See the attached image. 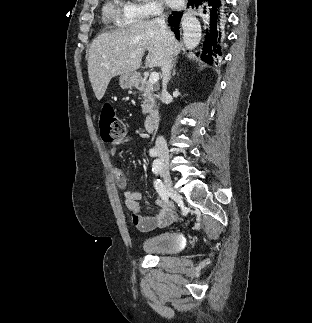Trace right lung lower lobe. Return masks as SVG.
<instances>
[{
	"label": "right lung lower lobe",
	"instance_id": "1",
	"mask_svg": "<svg viewBox=\"0 0 312 323\" xmlns=\"http://www.w3.org/2000/svg\"><path fill=\"white\" fill-rule=\"evenodd\" d=\"M221 0H189L187 7L199 11L204 17L202 25L203 45L197 55L208 63L216 60L217 54L221 55L220 44L221 37L224 33L225 26V7ZM184 12H172L168 18L171 30L176 34V38L180 37V30L184 21Z\"/></svg>",
	"mask_w": 312,
	"mask_h": 323
}]
</instances>
